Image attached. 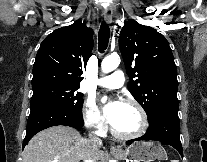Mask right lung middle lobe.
I'll return each instance as SVG.
<instances>
[{
	"label": "right lung middle lobe",
	"instance_id": "right-lung-middle-lobe-1",
	"mask_svg": "<svg viewBox=\"0 0 207 162\" xmlns=\"http://www.w3.org/2000/svg\"><path fill=\"white\" fill-rule=\"evenodd\" d=\"M79 87L61 84H46L33 87L31 107L37 104H55L70 111L82 114L83 94Z\"/></svg>",
	"mask_w": 207,
	"mask_h": 162
}]
</instances>
